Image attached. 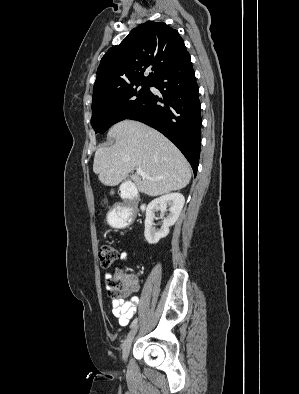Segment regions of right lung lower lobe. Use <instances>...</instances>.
<instances>
[{
    "mask_svg": "<svg viewBox=\"0 0 299 394\" xmlns=\"http://www.w3.org/2000/svg\"><path fill=\"white\" fill-rule=\"evenodd\" d=\"M151 86L160 90L161 96L149 90L144 101L125 119L143 122L163 133L184 154L196 175L201 115L199 89L189 53L157 76Z\"/></svg>",
    "mask_w": 299,
    "mask_h": 394,
    "instance_id": "1",
    "label": "right lung lower lobe"
}]
</instances>
